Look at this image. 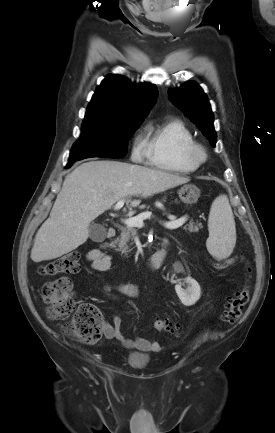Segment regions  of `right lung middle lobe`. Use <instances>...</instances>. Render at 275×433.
<instances>
[{"label": "right lung middle lobe", "instance_id": "1", "mask_svg": "<svg viewBox=\"0 0 275 433\" xmlns=\"http://www.w3.org/2000/svg\"><path fill=\"white\" fill-rule=\"evenodd\" d=\"M142 121L121 124L83 122L81 137L72 146L69 168L74 162L90 158H122L127 153V142Z\"/></svg>", "mask_w": 275, "mask_h": 433}]
</instances>
